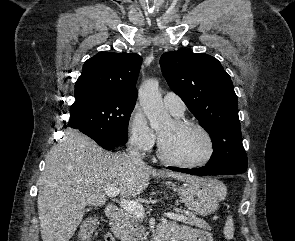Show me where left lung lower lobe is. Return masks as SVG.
Masks as SVG:
<instances>
[{
	"instance_id": "0a47b994",
	"label": "left lung lower lobe",
	"mask_w": 295,
	"mask_h": 241,
	"mask_svg": "<svg viewBox=\"0 0 295 241\" xmlns=\"http://www.w3.org/2000/svg\"><path fill=\"white\" fill-rule=\"evenodd\" d=\"M169 169L173 171L178 172H184L192 175H200V176H206V175H233V174H241L242 171L233 170L225 167H217V166H204L201 168H194V169H182V168H176V167H168Z\"/></svg>"
}]
</instances>
